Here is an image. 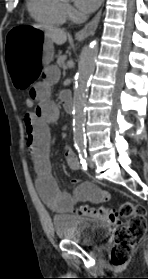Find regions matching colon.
Returning <instances> with one entry per match:
<instances>
[{"label": "colon", "instance_id": "colon-1", "mask_svg": "<svg viewBox=\"0 0 148 279\" xmlns=\"http://www.w3.org/2000/svg\"><path fill=\"white\" fill-rule=\"evenodd\" d=\"M35 102V98L29 94L25 105L30 108ZM76 213L95 217L109 224H120L115 230L111 251V261L116 266L128 262L135 246L148 229L145 207L132 201L120 203L117 209L81 206L76 209Z\"/></svg>", "mask_w": 148, "mask_h": 279}]
</instances>
